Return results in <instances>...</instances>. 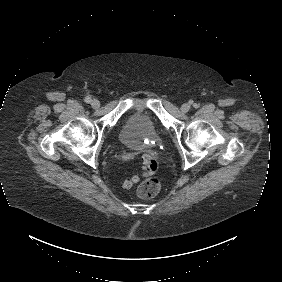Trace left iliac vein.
I'll list each match as a JSON object with an SVG mask.
<instances>
[{"label":"left iliac vein","instance_id":"4c4485c4","mask_svg":"<svg viewBox=\"0 0 282 282\" xmlns=\"http://www.w3.org/2000/svg\"><path fill=\"white\" fill-rule=\"evenodd\" d=\"M190 108H191L190 104H189V103H185V104H183V105L181 106V111H182L183 113H186V112H188V111L190 110Z\"/></svg>","mask_w":282,"mask_h":282}]
</instances>
